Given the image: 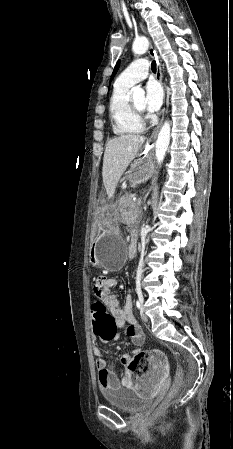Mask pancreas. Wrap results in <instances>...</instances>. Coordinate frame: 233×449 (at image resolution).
I'll return each mask as SVG.
<instances>
[{
    "label": "pancreas",
    "mask_w": 233,
    "mask_h": 449,
    "mask_svg": "<svg viewBox=\"0 0 233 449\" xmlns=\"http://www.w3.org/2000/svg\"><path fill=\"white\" fill-rule=\"evenodd\" d=\"M132 198L133 197L131 195L124 197V199L127 200V202H128V207L130 209V214H131L130 218L140 219L142 216V211L140 210L138 205L132 201Z\"/></svg>",
    "instance_id": "pancreas-1"
}]
</instances>
